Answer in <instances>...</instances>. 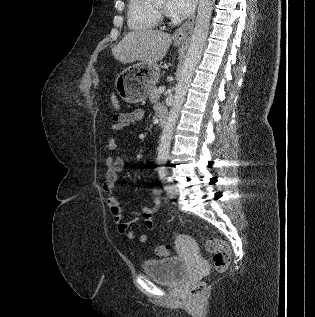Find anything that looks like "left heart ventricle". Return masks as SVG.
I'll list each match as a JSON object with an SVG mask.
<instances>
[{
    "label": "left heart ventricle",
    "instance_id": "b2bd125f",
    "mask_svg": "<svg viewBox=\"0 0 315 317\" xmlns=\"http://www.w3.org/2000/svg\"><path fill=\"white\" fill-rule=\"evenodd\" d=\"M157 7L163 10L165 8V2L159 3Z\"/></svg>",
    "mask_w": 315,
    "mask_h": 317
}]
</instances>
